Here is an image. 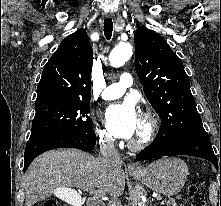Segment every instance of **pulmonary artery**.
Here are the masks:
<instances>
[{
	"label": "pulmonary artery",
	"instance_id": "obj_1",
	"mask_svg": "<svg viewBox=\"0 0 221 206\" xmlns=\"http://www.w3.org/2000/svg\"><path fill=\"white\" fill-rule=\"evenodd\" d=\"M133 85V77L129 73H123L120 76L119 82L107 86L103 93L102 98L104 100H113L116 98L121 97L127 88L131 87Z\"/></svg>",
	"mask_w": 221,
	"mask_h": 206
}]
</instances>
